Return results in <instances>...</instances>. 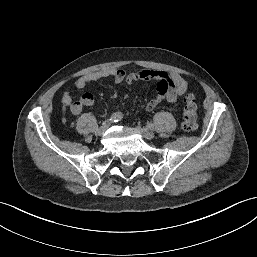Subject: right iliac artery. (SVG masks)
Returning <instances> with one entry per match:
<instances>
[{
    "mask_svg": "<svg viewBox=\"0 0 257 257\" xmlns=\"http://www.w3.org/2000/svg\"><path fill=\"white\" fill-rule=\"evenodd\" d=\"M123 118V115L121 112L113 113L109 119L111 123L118 122Z\"/></svg>",
    "mask_w": 257,
    "mask_h": 257,
    "instance_id": "82829eb1",
    "label": "right iliac artery"
}]
</instances>
